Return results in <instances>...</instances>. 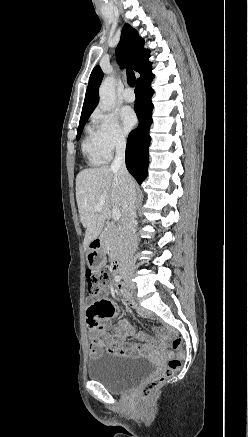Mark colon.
Here are the masks:
<instances>
[{"label": "colon", "mask_w": 248, "mask_h": 437, "mask_svg": "<svg viewBox=\"0 0 248 437\" xmlns=\"http://www.w3.org/2000/svg\"><path fill=\"white\" fill-rule=\"evenodd\" d=\"M108 280L109 273L107 270H104V272H91V270L88 269L86 274V281L89 293L98 294L99 291H101L103 287L107 284ZM181 357L182 340L179 337H175L171 341V354L165 368L160 374L153 377L141 387L140 396L143 399L149 398L159 387H161L180 369Z\"/></svg>", "instance_id": "1"}]
</instances>
